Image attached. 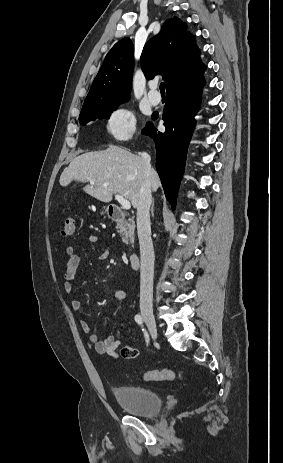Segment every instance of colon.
I'll list each match as a JSON object with an SVG mask.
<instances>
[{"label": "colon", "instance_id": "obj_1", "mask_svg": "<svg viewBox=\"0 0 283 463\" xmlns=\"http://www.w3.org/2000/svg\"><path fill=\"white\" fill-rule=\"evenodd\" d=\"M75 233V220L71 216H66L61 221L60 234L63 237H70ZM145 382L175 381L185 379L184 376L176 374L172 370H155L146 372L142 376Z\"/></svg>", "mask_w": 283, "mask_h": 463}]
</instances>
